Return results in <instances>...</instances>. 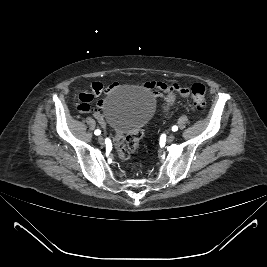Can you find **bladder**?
<instances>
[{"mask_svg": "<svg viewBox=\"0 0 267 267\" xmlns=\"http://www.w3.org/2000/svg\"><path fill=\"white\" fill-rule=\"evenodd\" d=\"M154 111L155 104L149 94L132 86L114 89L107 96L103 108L105 121L119 134L144 127Z\"/></svg>", "mask_w": 267, "mask_h": 267, "instance_id": "31cf9c89", "label": "bladder"}]
</instances>
